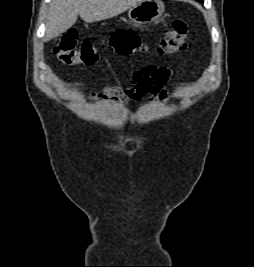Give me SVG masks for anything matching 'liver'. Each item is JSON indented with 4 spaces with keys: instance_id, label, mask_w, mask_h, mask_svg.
I'll return each instance as SVG.
<instances>
[{
    "instance_id": "1",
    "label": "liver",
    "mask_w": 254,
    "mask_h": 267,
    "mask_svg": "<svg viewBox=\"0 0 254 267\" xmlns=\"http://www.w3.org/2000/svg\"><path fill=\"white\" fill-rule=\"evenodd\" d=\"M142 0H53L49 7L45 40H51L71 28L77 15L86 23L115 17Z\"/></svg>"
}]
</instances>
